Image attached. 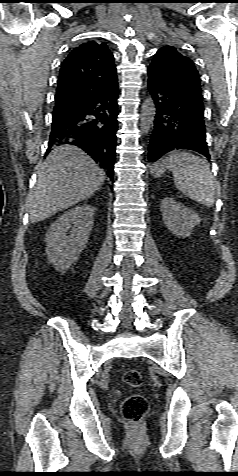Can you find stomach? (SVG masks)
I'll return each mask as SVG.
<instances>
[{"mask_svg":"<svg viewBox=\"0 0 238 476\" xmlns=\"http://www.w3.org/2000/svg\"><path fill=\"white\" fill-rule=\"evenodd\" d=\"M165 168L164 160H162L152 166L151 174L155 177H160L164 174Z\"/></svg>","mask_w":238,"mask_h":476,"instance_id":"stomach-1","label":"stomach"}]
</instances>
